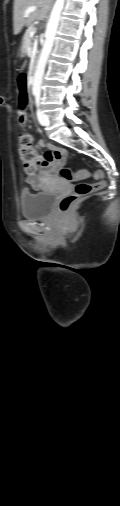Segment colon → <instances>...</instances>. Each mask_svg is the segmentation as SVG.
I'll return each instance as SVG.
<instances>
[{
	"mask_svg": "<svg viewBox=\"0 0 120 506\" xmlns=\"http://www.w3.org/2000/svg\"><path fill=\"white\" fill-rule=\"evenodd\" d=\"M28 71L26 69H17L15 71V78L18 80V109L17 117L19 125L23 126L26 122V110H27V94H26V79L28 78ZM19 158L22 164L23 170L27 174H33L36 172L39 166V155L37 150L32 144V138L29 134L22 133L19 140ZM50 158V157H49ZM89 173L86 170H73L70 168H62L60 170V176L62 179L67 181H79L80 179L87 177ZM95 178L99 179L94 184L85 182H78L75 191L63 197L58 203V209L61 213L66 212L70 207L79 199L101 190L105 186L103 180V172L96 171L94 174Z\"/></svg>",
	"mask_w": 120,
	"mask_h": 506,
	"instance_id": "colon-1",
	"label": "colon"
}]
</instances>
